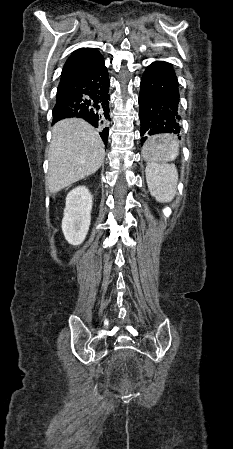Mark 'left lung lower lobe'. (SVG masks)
I'll return each mask as SVG.
<instances>
[{
  "label": "left lung lower lobe",
  "mask_w": 233,
  "mask_h": 449,
  "mask_svg": "<svg viewBox=\"0 0 233 449\" xmlns=\"http://www.w3.org/2000/svg\"><path fill=\"white\" fill-rule=\"evenodd\" d=\"M139 119L141 143L167 145L171 138L166 133H179L178 80L173 67L165 61L149 65L140 83Z\"/></svg>",
  "instance_id": "1"
}]
</instances>
